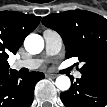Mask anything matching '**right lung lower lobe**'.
Masks as SVG:
<instances>
[{
    "instance_id": "obj_1",
    "label": "right lung lower lobe",
    "mask_w": 107,
    "mask_h": 107,
    "mask_svg": "<svg viewBox=\"0 0 107 107\" xmlns=\"http://www.w3.org/2000/svg\"><path fill=\"white\" fill-rule=\"evenodd\" d=\"M43 78L41 72L21 75L11 69L0 73V107H29L34 98V86Z\"/></svg>"
}]
</instances>
